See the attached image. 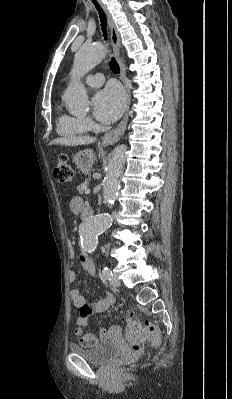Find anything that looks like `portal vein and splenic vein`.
<instances>
[{
  "label": "portal vein and splenic vein",
  "instance_id": "obj_1",
  "mask_svg": "<svg viewBox=\"0 0 232 399\" xmlns=\"http://www.w3.org/2000/svg\"><path fill=\"white\" fill-rule=\"evenodd\" d=\"M85 194L87 196V194H90V190H85Z\"/></svg>",
  "mask_w": 232,
  "mask_h": 399
}]
</instances>
